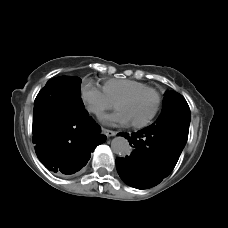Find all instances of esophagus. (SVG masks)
<instances>
[{
	"label": "esophagus",
	"instance_id": "34e87169",
	"mask_svg": "<svg viewBox=\"0 0 228 228\" xmlns=\"http://www.w3.org/2000/svg\"><path fill=\"white\" fill-rule=\"evenodd\" d=\"M103 132L108 136V137H111V136H115L116 135V132L115 131H112V130H108V129H103Z\"/></svg>",
	"mask_w": 228,
	"mask_h": 228
}]
</instances>
